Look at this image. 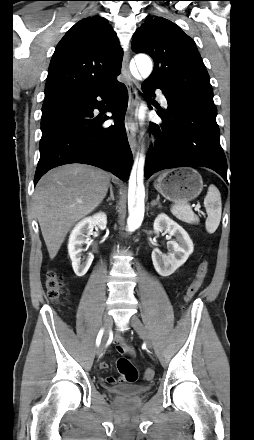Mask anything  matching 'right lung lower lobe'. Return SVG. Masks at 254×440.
Returning <instances> with one entry per match:
<instances>
[{"label": "right lung lower lobe", "instance_id": "obj_1", "mask_svg": "<svg viewBox=\"0 0 254 440\" xmlns=\"http://www.w3.org/2000/svg\"><path fill=\"white\" fill-rule=\"evenodd\" d=\"M63 96L64 101L41 121L40 159L34 186L48 170L68 163L93 165L127 181L133 156L124 125L128 105L125 85L80 88ZM100 98L115 119L109 127H102L108 116L93 115L95 108L105 106Z\"/></svg>", "mask_w": 254, "mask_h": 440}]
</instances>
